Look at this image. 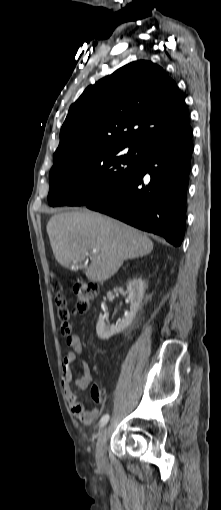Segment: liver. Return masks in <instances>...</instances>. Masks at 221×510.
<instances>
[{
	"mask_svg": "<svg viewBox=\"0 0 221 510\" xmlns=\"http://www.w3.org/2000/svg\"><path fill=\"white\" fill-rule=\"evenodd\" d=\"M47 233L57 262L64 267L79 263L87 278L96 282L115 275L125 260L153 250L151 239L137 229L88 210L53 215ZM88 256L91 263L83 265Z\"/></svg>",
	"mask_w": 221,
	"mask_h": 510,
	"instance_id": "6515ba94",
	"label": "liver"
}]
</instances>
